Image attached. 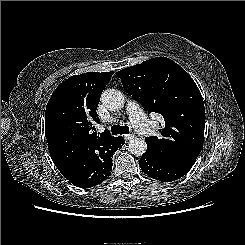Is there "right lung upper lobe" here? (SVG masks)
I'll use <instances>...</instances> for the list:
<instances>
[{
    "label": "right lung upper lobe",
    "instance_id": "cb5924a9",
    "mask_svg": "<svg viewBox=\"0 0 245 245\" xmlns=\"http://www.w3.org/2000/svg\"><path fill=\"white\" fill-rule=\"evenodd\" d=\"M114 72H88L63 81L53 92L45 112V135L56 166H73L83 181L93 172L87 167L93 149L116 137L108 130L97 134L96 112L100 96Z\"/></svg>",
    "mask_w": 245,
    "mask_h": 245
}]
</instances>
